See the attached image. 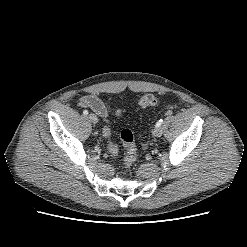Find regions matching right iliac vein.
Masks as SVG:
<instances>
[{
  "instance_id": "63e3f726",
  "label": "right iliac vein",
  "mask_w": 247,
  "mask_h": 247,
  "mask_svg": "<svg viewBox=\"0 0 247 247\" xmlns=\"http://www.w3.org/2000/svg\"><path fill=\"white\" fill-rule=\"evenodd\" d=\"M88 119H89L92 123H94V124H96V123L98 122L97 116H96L95 114H93V113L89 114Z\"/></svg>"
}]
</instances>
